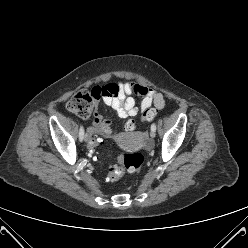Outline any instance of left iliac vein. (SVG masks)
Here are the masks:
<instances>
[{
  "label": "left iliac vein",
  "mask_w": 248,
  "mask_h": 248,
  "mask_svg": "<svg viewBox=\"0 0 248 248\" xmlns=\"http://www.w3.org/2000/svg\"><path fill=\"white\" fill-rule=\"evenodd\" d=\"M150 136H151V138H154V137H155V131H152V130H151Z\"/></svg>",
  "instance_id": "4c4485c4"
}]
</instances>
